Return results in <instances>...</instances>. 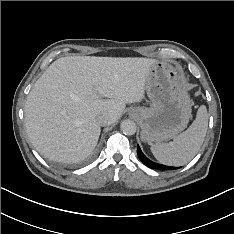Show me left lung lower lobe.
<instances>
[{"label": "left lung lower lobe", "instance_id": "0a47b994", "mask_svg": "<svg viewBox=\"0 0 234 234\" xmlns=\"http://www.w3.org/2000/svg\"><path fill=\"white\" fill-rule=\"evenodd\" d=\"M137 154L139 159L149 168L158 169V170H174L176 167L164 166L158 163H155L149 160L141 151L140 147L137 145Z\"/></svg>", "mask_w": 234, "mask_h": 234}]
</instances>
